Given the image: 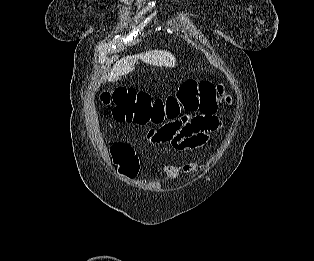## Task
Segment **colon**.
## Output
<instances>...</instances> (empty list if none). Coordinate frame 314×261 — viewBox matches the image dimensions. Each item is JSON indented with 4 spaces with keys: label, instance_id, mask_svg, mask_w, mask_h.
<instances>
[{
    "label": "colon",
    "instance_id": "colon-1",
    "mask_svg": "<svg viewBox=\"0 0 314 261\" xmlns=\"http://www.w3.org/2000/svg\"><path fill=\"white\" fill-rule=\"evenodd\" d=\"M223 93L221 84L189 79L166 98L155 97L135 88L120 87L112 92H103L101 100L106 105H113L112 116L118 122L161 126L164 120H175V116L193 113V109H206V112L215 110L217 97ZM112 151L122 174L135 176L138 162L133 149L126 144H116Z\"/></svg>",
    "mask_w": 314,
    "mask_h": 261
}]
</instances>
